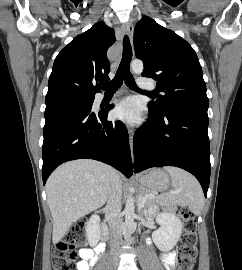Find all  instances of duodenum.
<instances>
[{
	"label": "duodenum",
	"instance_id": "1",
	"mask_svg": "<svg viewBox=\"0 0 242 270\" xmlns=\"http://www.w3.org/2000/svg\"><path fill=\"white\" fill-rule=\"evenodd\" d=\"M108 238H109L108 227L106 226V224H103L101 227V239L107 240Z\"/></svg>",
	"mask_w": 242,
	"mask_h": 270
}]
</instances>
